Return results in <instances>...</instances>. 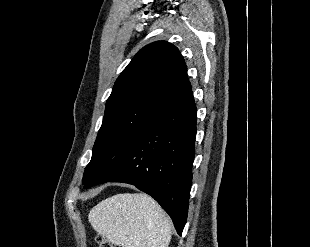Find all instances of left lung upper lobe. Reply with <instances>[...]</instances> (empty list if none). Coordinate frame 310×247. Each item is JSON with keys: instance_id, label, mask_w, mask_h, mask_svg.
<instances>
[{"instance_id": "1", "label": "left lung upper lobe", "mask_w": 310, "mask_h": 247, "mask_svg": "<svg viewBox=\"0 0 310 247\" xmlns=\"http://www.w3.org/2000/svg\"><path fill=\"white\" fill-rule=\"evenodd\" d=\"M190 91L185 61L173 44L157 41L143 47L119 75L107 99L83 175L85 188L94 186L163 112Z\"/></svg>"}]
</instances>
